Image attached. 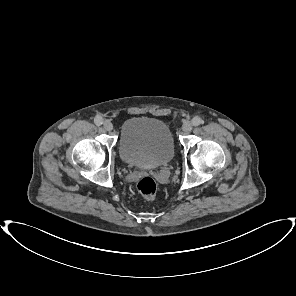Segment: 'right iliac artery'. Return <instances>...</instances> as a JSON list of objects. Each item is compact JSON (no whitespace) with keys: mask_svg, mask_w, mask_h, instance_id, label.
Segmentation results:
<instances>
[{"mask_svg":"<svg viewBox=\"0 0 296 296\" xmlns=\"http://www.w3.org/2000/svg\"><path fill=\"white\" fill-rule=\"evenodd\" d=\"M94 122L96 125L100 126L103 123V119L102 117L97 116L95 117Z\"/></svg>","mask_w":296,"mask_h":296,"instance_id":"right-iliac-artery-1","label":"right iliac artery"}]
</instances>
